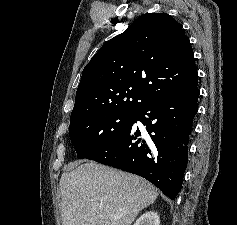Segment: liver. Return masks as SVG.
Listing matches in <instances>:
<instances>
[{
	"label": "liver",
	"instance_id": "obj_1",
	"mask_svg": "<svg viewBox=\"0 0 237 225\" xmlns=\"http://www.w3.org/2000/svg\"><path fill=\"white\" fill-rule=\"evenodd\" d=\"M157 196L145 179L89 161L61 176L62 225H131Z\"/></svg>",
	"mask_w": 237,
	"mask_h": 225
}]
</instances>
